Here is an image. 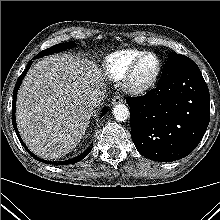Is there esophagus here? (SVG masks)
Returning <instances> with one entry per match:
<instances>
[{"label":"esophagus","mask_w":220,"mask_h":220,"mask_svg":"<svg viewBox=\"0 0 220 220\" xmlns=\"http://www.w3.org/2000/svg\"><path fill=\"white\" fill-rule=\"evenodd\" d=\"M122 102H123V100H122V98H121L120 96H115V97L112 99V104H113V105L120 104V103H122Z\"/></svg>","instance_id":"34e87169"}]
</instances>
